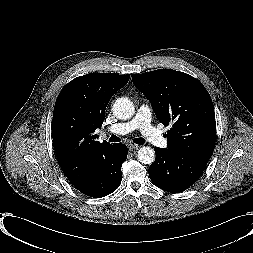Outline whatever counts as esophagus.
<instances>
[{"mask_svg": "<svg viewBox=\"0 0 253 253\" xmlns=\"http://www.w3.org/2000/svg\"><path fill=\"white\" fill-rule=\"evenodd\" d=\"M139 148V145H136V144H128V149L130 151H134V150H137Z\"/></svg>", "mask_w": 253, "mask_h": 253, "instance_id": "1", "label": "esophagus"}]
</instances>
